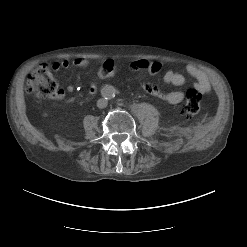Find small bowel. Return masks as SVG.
<instances>
[{
  "label": "small bowel",
  "mask_w": 247,
  "mask_h": 247,
  "mask_svg": "<svg viewBox=\"0 0 247 247\" xmlns=\"http://www.w3.org/2000/svg\"><path fill=\"white\" fill-rule=\"evenodd\" d=\"M90 60L85 58H77L73 61V65L81 68H87L90 66ZM70 66V62L68 60H63L59 63H54L52 65V69L54 71H58L59 69H67ZM131 68L133 70L144 69L151 74H156L161 70V65L158 62L154 61H134L131 63ZM186 72L189 76H191L195 81V88L201 94H209L211 92V85L209 82V78L205 72L199 69L197 66L189 64L186 67ZM187 77L185 74L168 70L163 74V81L167 84H172L174 86H181L186 83ZM142 87L153 96L158 99L171 103V104H179L184 99V94L180 91L176 90H160L159 88L150 85V84H142ZM74 87L72 85H68L66 87L67 92H72ZM90 93H95L97 91L96 84H91L89 87Z\"/></svg>",
  "instance_id": "obj_1"
}]
</instances>
